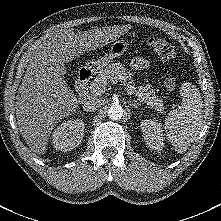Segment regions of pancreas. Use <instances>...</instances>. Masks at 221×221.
Masks as SVG:
<instances>
[{"label": "pancreas", "mask_w": 221, "mask_h": 221, "mask_svg": "<svg viewBox=\"0 0 221 221\" xmlns=\"http://www.w3.org/2000/svg\"><path fill=\"white\" fill-rule=\"evenodd\" d=\"M117 77L125 86V90L129 95H135L140 102L154 108L159 113L164 112L163 100L157 95L156 91L151 89L150 85L136 87L133 83L132 74L120 63L108 64L91 83V92L97 95L103 94L108 82L114 81Z\"/></svg>", "instance_id": "obj_1"}]
</instances>
